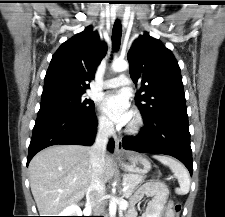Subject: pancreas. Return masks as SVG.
Here are the masks:
<instances>
[{
    "instance_id": "obj_1",
    "label": "pancreas",
    "mask_w": 225,
    "mask_h": 217,
    "mask_svg": "<svg viewBox=\"0 0 225 217\" xmlns=\"http://www.w3.org/2000/svg\"><path fill=\"white\" fill-rule=\"evenodd\" d=\"M144 179H145V176H143V175H138V174L124 175L123 183L125 184V186L128 187L127 191L124 192V196L126 198L130 197L132 195V193L134 192L135 188L139 184L144 182ZM161 195L163 196L164 199L168 198L169 190L166 187H164L161 190Z\"/></svg>"
}]
</instances>
